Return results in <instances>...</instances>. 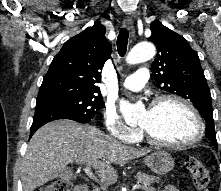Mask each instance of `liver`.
I'll return each instance as SVG.
<instances>
[{
  "label": "liver",
  "mask_w": 221,
  "mask_h": 191,
  "mask_svg": "<svg viewBox=\"0 0 221 191\" xmlns=\"http://www.w3.org/2000/svg\"><path fill=\"white\" fill-rule=\"evenodd\" d=\"M149 152L124 145L90 125L53 121L37 130L28 144L22 164L23 191H34L57 178L70 162L91 164L101 183L108 186L117 181L112 164H122Z\"/></svg>",
  "instance_id": "1"
}]
</instances>
